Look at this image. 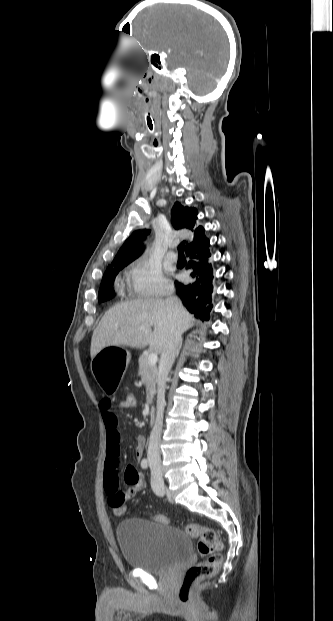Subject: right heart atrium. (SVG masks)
Listing matches in <instances>:
<instances>
[{
	"label": "right heart atrium",
	"mask_w": 333,
	"mask_h": 621,
	"mask_svg": "<svg viewBox=\"0 0 333 621\" xmlns=\"http://www.w3.org/2000/svg\"><path fill=\"white\" fill-rule=\"evenodd\" d=\"M128 285L133 295L142 298L164 296L172 290V284L161 269L146 259H140L131 266Z\"/></svg>",
	"instance_id": "right-heart-atrium-1"
}]
</instances>
